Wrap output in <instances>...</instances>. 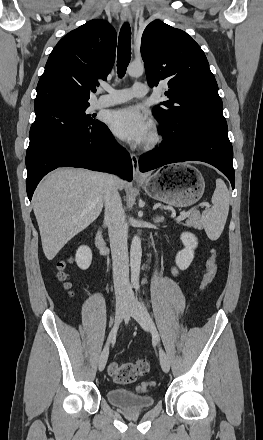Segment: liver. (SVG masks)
Segmentation results:
<instances>
[{"label": "liver", "mask_w": 263, "mask_h": 440, "mask_svg": "<svg viewBox=\"0 0 263 440\" xmlns=\"http://www.w3.org/2000/svg\"><path fill=\"white\" fill-rule=\"evenodd\" d=\"M116 185L124 188L120 179ZM108 187L109 175L73 168L57 169L39 184L33 210L48 260L98 218Z\"/></svg>", "instance_id": "6515ba94"}]
</instances>
